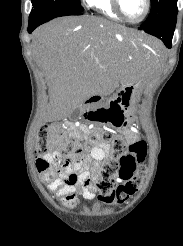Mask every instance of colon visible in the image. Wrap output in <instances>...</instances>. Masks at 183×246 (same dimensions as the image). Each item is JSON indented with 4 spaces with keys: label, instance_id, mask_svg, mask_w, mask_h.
Here are the masks:
<instances>
[{
    "label": "colon",
    "instance_id": "5ec220e1",
    "mask_svg": "<svg viewBox=\"0 0 183 246\" xmlns=\"http://www.w3.org/2000/svg\"><path fill=\"white\" fill-rule=\"evenodd\" d=\"M91 120L113 121L121 123L120 113H110L109 109L98 108L89 113ZM64 134L62 126L42 127L38 131L36 152L38 158L36 166L39 172L45 173L50 169V163L45 156L56 152L62 166L88 163V158L81 152L80 146L73 138L61 141ZM102 139L110 144V157L101 167L99 177L95 183L99 200L107 205H121L133 197L141 188L146 169V144L137 141L129 146L122 137L112 132H105ZM74 178H69V181Z\"/></svg>",
    "mask_w": 183,
    "mask_h": 246
}]
</instances>
